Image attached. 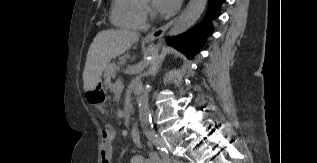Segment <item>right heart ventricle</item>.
<instances>
[{
  "instance_id": "right-heart-ventricle-1",
  "label": "right heart ventricle",
  "mask_w": 317,
  "mask_h": 163,
  "mask_svg": "<svg viewBox=\"0 0 317 163\" xmlns=\"http://www.w3.org/2000/svg\"><path fill=\"white\" fill-rule=\"evenodd\" d=\"M144 0H113L111 21L120 28L144 29L146 16Z\"/></svg>"
}]
</instances>
